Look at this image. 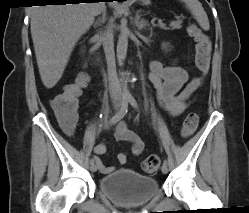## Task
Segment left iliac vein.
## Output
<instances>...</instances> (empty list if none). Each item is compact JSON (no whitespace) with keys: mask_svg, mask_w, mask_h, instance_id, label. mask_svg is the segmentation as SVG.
Here are the masks:
<instances>
[{"mask_svg":"<svg viewBox=\"0 0 249 213\" xmlns=\"http://www.w3.org/2000/svg\"><path fill=\"white\" fill-rule=\"evenodd\" d=\"M161 171L163 174H167L168 173V166L167 164H163L161 167Z\"/></svg>","mask_w":249,"mask_h":213,"instance_id":"left-iliac-vein-1","label":"left iliac vein"}]
</instances>
